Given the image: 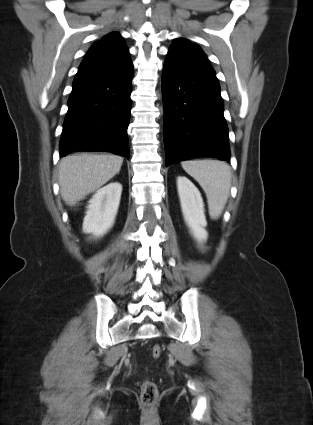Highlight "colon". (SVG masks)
Masks as SVG:
<instances>
[{"label": "colon", "instance_id": "colon-1", "mask_svg": "<svg viewBox=\"0 0 313 425\" xmlns=\"http://www.w3.org/2000/svg\"><path fill=\"white\" fill-rule=\"evenodd\" d=\"M152 357L157 359L162 354V347L158 344L151 349ZM141 401L145 406H153L158 399V389L154 382L144 381L141 385Z\"/></svg>", "mask_w": 313, "mask_h": 425}]
</instances>
